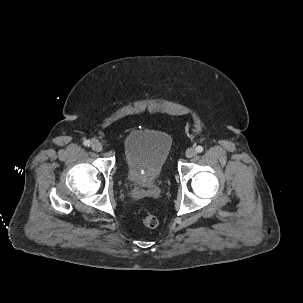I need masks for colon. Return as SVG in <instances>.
<instances>
[{
  "mask_svg": "<svg viewBox=\"0 0 303 303\" xmlns=\"http://www.w3.org/2000/svg\"><path fill=\"white\" fill-rule=\"evenodd\" d=\"M141 222L148 228H155L158 226L159 220L154 214L147 212L141 216Z\"/></svg>",
  "mask_w": 303,
  "mask_h": 303,
  "instance_id": "colon-1",
  "label": "colon"
}]
</instances>
